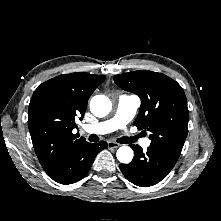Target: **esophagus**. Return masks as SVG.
Returning a JSON list of instances; mask_svg holds the SVG:
<instances>
[{"label":"esophagus","mask_w":221,"mask_h":221,"mask_svg":"<svg viewBox=\"0 0 221 221\" xmlns=\"http://www.w3.org/2000/svg\"><path fill=\"white\" fill-rule=\"evenodd\" d=\"M107 146L109 149H117L120 146V144L113 141H108Z\"/></svg>","instance_id":"esophagus-1"}]
</instances>
